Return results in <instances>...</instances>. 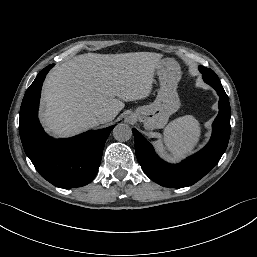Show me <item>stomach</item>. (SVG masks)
Instances as JSON below:
<instances>
[{"mask_svg":"<svg viewBox=\"0 0 257 257\" xmlns=\"http://www.w3.org/2000/svg\"><path fill=\"white\" fill-rule=\"evenodd\" d=\"M160 89L155 101L146 106L138 107L134 116L144 123L148 130L163 128L169 117L180 108L177 93L178 82L181 78L179 65L172 59H163L156 68Z\"/></svg>","mask_w":257,"mask_h":257,"instance_id":"0dacf381","label":"stomach"}]
</instances>
